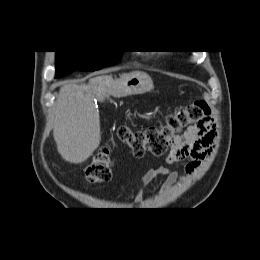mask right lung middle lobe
I'll list each match as a JSON object with an SVG mask.
<instances>
[{
  "mask_svg": "<svg viewBox=\"0 0 260 260\" xmlns=\"http://www.w3.org/2000/svg\"><path fill=\"white\" fill-rule=\"evenodd\" d=\"M122 51H56V78L75 70L94 71L117 64Z\"/></svg>",
  "mask_w": 260,
  "mask_h": 260,
  "instance_id": "right-lung-middle-lobe-1",
  "label": "right lung middle lobe"
}]
</instances>
